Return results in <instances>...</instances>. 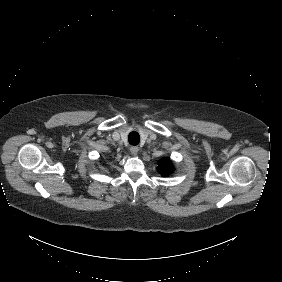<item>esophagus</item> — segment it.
Returning a JSON list of instances; mask_svg holds the SVG:
<instances>
[{"label": "esophagus", "mask_w": 282, "mask_h": 282, "mask_svg": "<svg viewBox=\"0 0 282 282\" xmlns=\"http://www.w3.org/2000/svg\"><path fill=\"white\" fill-rule=\"evenodd\" d=\"M138 151H139V148L137 146L130 147V153L132 155H136L138 153Z\"/></svg>", "instance_id": "1"}]
</instances>
